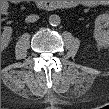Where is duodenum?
I'll return each mask as SVG.
<instances>
[{"label": "duodenum", "instance_id": "1", "mask_svg": "<svg viewBox=\"0 0 109 109\" xmlns=\"http://www.w3.org/2000/svg\"><path fill=\"white\" fill-rule=\"evenodd\" d=\"M36 7L40 10H44L50 7H56V5L51 1H37Z\"/></svg>", "mask_w": 109, "mask_h": 109}]
</instances>
